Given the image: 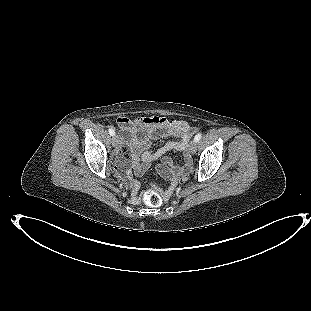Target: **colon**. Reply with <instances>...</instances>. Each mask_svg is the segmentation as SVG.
I'll return each mask as SVG.
<instances>
[{
    "instance_id": "colon-1",
    "label": "colon",
    "mask_w": 311,
    "mask_h": 311,
    "mask_svg": "<svg viewBox=\"0 0 311 311\" xmlns=\"http://www.w3.org/2000/svg\"><path fill=\"white\" fill-rule=\"evenodd\" d=\"M126 162H123L122 165H124ZM143 200L144 202L152 207H158L162 204L163 198L162 195L155 189H149L145 191L143 194Z\"/></svg>"
}]
</instances>
